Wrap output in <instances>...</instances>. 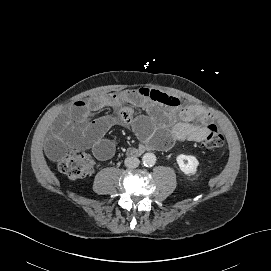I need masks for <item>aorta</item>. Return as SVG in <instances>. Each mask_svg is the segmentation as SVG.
<instances>
[{
	"label": "aorta",
	"mask_w": 271,
	"mask_h": 271,
	"mask_svg": "<svg viewBox=\"0 0 271 271\" xmlns=\"http://www.w3.org/2000/svg\"><path fill=\"white\" fill-rule=\"evenodd\" d=\"M142 162L145 166L151 167L156 162V156L153 153H145L142 157Z\"/></svg>",
	"instance_id": "aorta-1"
}]
</instances>
